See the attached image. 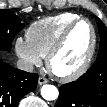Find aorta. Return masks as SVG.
Instances as JSON below:
<instances>
[{
    "label": "aorta",
    "instance_id": "1",
    "mask_svg": "<svg viewBox=\"0 0 107 107\" xmlns=\"http://www.w3.org/2000/svg\"><path fill=\"white\" fill-rule=\"evenodd\" d=\"M58 95V89L54 85L46 84L41 88V96L47 101L56 100Z\"/></svg>",
    "mask_w": 107,
    "mask_h": 107
}]
</instances>
